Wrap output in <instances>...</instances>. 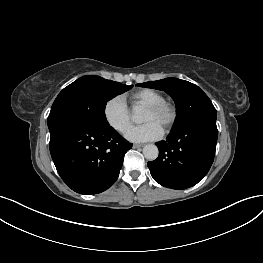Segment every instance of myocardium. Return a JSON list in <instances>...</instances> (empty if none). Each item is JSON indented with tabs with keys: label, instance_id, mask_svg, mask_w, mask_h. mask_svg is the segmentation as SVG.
Masks as SVG:
<instances>
[{
	"label": "myocardium",
	"instance_id": "f54148a6",
	"mask_svg": "<svg viewBox=\"0 0 263 263\" xmlns=\"http://www.w3.org/2000/svg\"><path fill=\"white\" fill-rule=\"evenodd\" d=\"M147 108L157 114L163 115V124L162 127L165 130H169L174 125L177 119V109L176 106L166 100L150 104Z\"/></svg>",
	"mask_w": 263,
	"mask_h": 263
}]
</instances>
